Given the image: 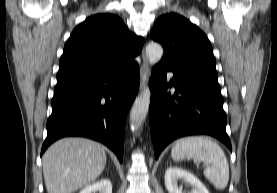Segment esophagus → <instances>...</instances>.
Segmentation results:
<instances>
[{
  "instance_id": "34e87169",
  "label": "esophagus",
  "mask_w": 277,
  "mask_h": 193,
  "mask_svg": "<svg viewBox=\"0 0 277 193\" xmlns=\"http://www.w3.org/2000/svg\"><path fill=\"white\" fill-rule=\"evenodd\" d=\"M140 75H141L140 89L143 90L146 87V84L150 76V67L144 51H142V65L140 68Z\"/></svg>"
}]
</instances>
